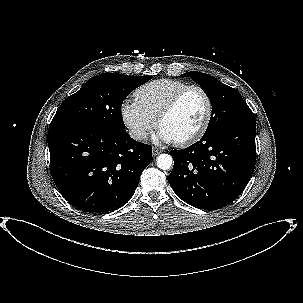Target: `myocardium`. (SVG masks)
Masks as SVG:
<instances>
[{"mask_svg": "<svg viewBox=\"0 0 303 303\" xmlns=\"http://www.w3.org/2000/svg\"><path fill=\"white\" fill-rule=\"evenodd\" d=\"M192 90H196V91L200 92L202 94V96L204 97L205 102H206V112H205V116H204L199 128L193 134H191L190 136H188L184 139L175 141V143L178 146H182V147L191 145V144L199 141L204 136V134L206 133V131L210 125L212 115H213V104H212V100H211L210 96L208 95V93L206 92V90L198 85H188V86L184 87L171 98V100L161 110V112L159 113V115L157 116V119H156L157 126L161 127V123L170 114L173 113V111L176 109V107L178 106V104L180 103L182 98L188 92H190Z\"/></svg>", "mask_w": 303, "mask_h": 303, "instance_id": "f54148a6", "label": "myocardium"}]
</instances>
